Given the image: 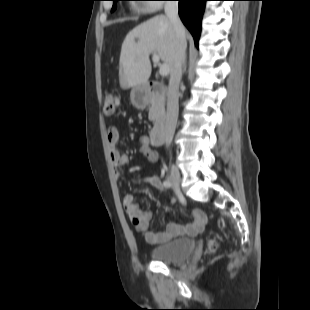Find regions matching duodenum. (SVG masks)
Listing matches in <instances>:
<instances>
[{
	"label": "duodenum",
	"mask_w": 310,
	"mask_h": 310,
	"mask_svg": "<svg viewBox=\"0 0 310 310\" xmlns=\"http://www.w3.org/2000/svg\"><path fill=\"white\" fill-rule=\"evenodd\" d=\"M167 94L168 91L166 87L160 82L150 80L146 83L145 102H149L153 99H159L162 101L165 99ZM167 124L168 120L166 115L164 113H161L158 117L156 125L150 133V139L153 145L158 146L162 144Z\"/></svg>",
	"instance_id": "1"
}]
</instances>
